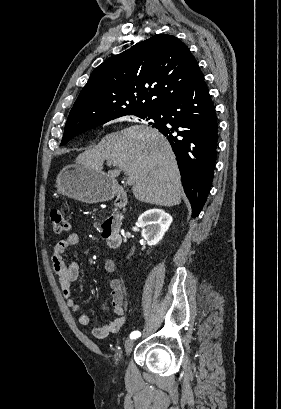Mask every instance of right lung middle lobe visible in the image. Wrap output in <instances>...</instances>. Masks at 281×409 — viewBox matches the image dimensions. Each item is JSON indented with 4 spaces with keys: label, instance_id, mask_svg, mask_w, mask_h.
Here are the masks:
<instances>
[{
    "label": "right lung middle lobe",
    "instance_id": "dd1d6c3e",
    "mask_svg": "<svg viewBox=\"0 0 281 409\" xmlns=\"http://www.w3.org/2000/svg\"><path fill=\"white\" fill-rule=\"evenodd\" d=\"M125 115H135V116H138V117H140L142 119H146V120L153 119L154 122L158 118L156 112H150V111L124 112V113H121V114L110 116L108 118H105V119L100 120V121H98L96 123L90 124L88 126H84V127H68V128H65L61 145L66 144L70 139H72L73 137H75L76 135H78V134H80V133H82L84 131L95 128V127L100 126V125H102V124H104V123H106V122H108L110 120H113V119H116V118H119V117L125 116Z\"/></svg>",
    "mask_w": 281,
    "mask_h": 409
}]
</instances>
